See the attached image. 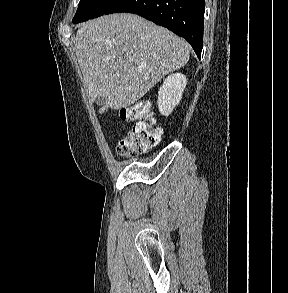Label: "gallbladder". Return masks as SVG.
<instances>
[{
  "mask_svg": "<svg viewBox=\"0 0 288 293\" xmlns=\"http://www.w3.org/2000/svg\"><path fill=\"white\" fill-rule=\"evenodd\" d=\"M95 102H96L97 105H102V104H104L105 99L100 96V97L96 98Z\"/></svg>",
  "mask_w": 288,
  "mask_h": 293,
  "instance_id": "obj_1",
  "label": "gallbladder"
}]
</instances>
